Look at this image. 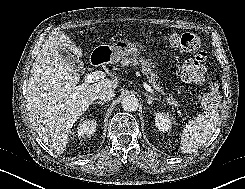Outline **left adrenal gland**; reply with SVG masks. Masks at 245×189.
I'll return each instance as SVG.
<instances>
[{
	"label": "left adrenal gland",
	"instance_id": "obj_1",
	"mask_svg": "<svg viewBox=\"0 0 245 189\" xmlns=\"http://www.w3.org/2000/svg\"><path fill=\"white\" fill-rule=\"evenodd\" d=\"M145 94V96L148 98L147 99V103L148 104H151L153 101H160V99L159 98H155V97H153V96H151L150 94H148L147 92L146 93H144Z\"/></svg>",
	"mask_w": 245,
	"mask_h": 189
}]
</instances>
